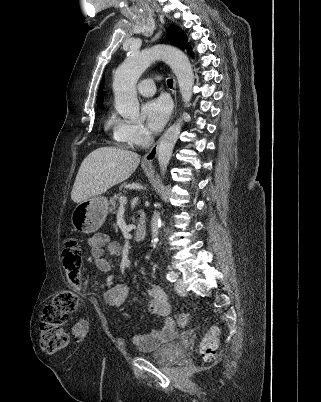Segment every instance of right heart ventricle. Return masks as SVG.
<instances>
[{"label": "right heart ventricle", "instance_id": "obj_1", "mask_svg": "<svg viewBox=\"0 0 321 402\" xmlns=\"http://www.w3.org/2000/svg\"><path fill=\"white\" fill-rule=\"evenodd\" d=\"M106 125L118 145L122 147H128L131 145L129 141L130 124L127 121L110 114L106 119Z\"/></svg>", "mask_w": 321, "mask_h": 402}]
</instances>
